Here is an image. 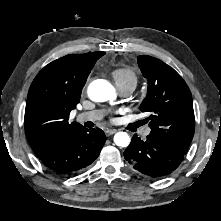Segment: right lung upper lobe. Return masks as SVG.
<instances>
[{"mask_svg": "<svg viewBox=\"0 0 221 221\" xmlns=\"http://www.w3.org/2000/svg\"><path fill=\"white\" fill-rule=\"evenodd\" d=\"M105 52L70 54L52 61L35 77L28 92L24 127L27 140L41 159L66 137L84 127L69 122L82 88Z\"/></svg>", "mask_w": 221, "mask_h": 221, "instance_id": "obj_1", "label": "right lung upper lobe"}]
</instances>
